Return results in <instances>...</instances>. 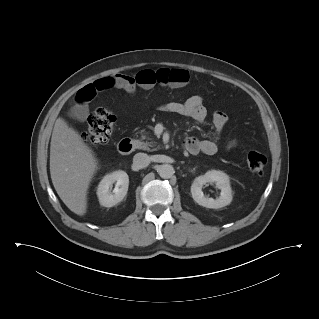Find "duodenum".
<instances>
[{"label": "duodenum", "instance_id": "410a0bca", "mask_svg": "<svg viewBox=\"0 0 319 319\" xmlns=\"http://www.w3.org/2000/svg\"><path fill=\"white\" fill-rule=\"evenodd\" d=\"M133 149V141L131 139H122L118 144V151L121 154H128Z\"/></svg>", "mask_w": 319, "mask_h": 319}]
</instances>
